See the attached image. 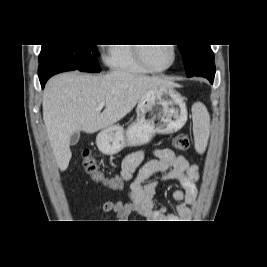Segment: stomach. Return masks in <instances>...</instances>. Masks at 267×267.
<instances>
[{"mask_svg":"<svg viewBox=\"0 0 267 267\" xmlns=\"http://www.w3.org/2000/svg\"><path fill=\"white\" fill-rule=\"evenodd\" d=\"M136 113V121L127 130L112 125L97 135L96 144L103 154L114 155L127 146L147 144L156 134L177 132L187 121L184 98L174 87L148 91L139 100Z\"/></svg>","mask_w":267,"mask_h":267,"instance_id":"obj_1","label":"stomach"}]
</instances>
